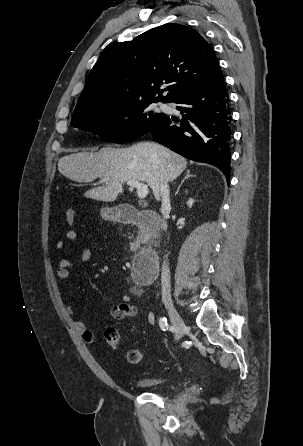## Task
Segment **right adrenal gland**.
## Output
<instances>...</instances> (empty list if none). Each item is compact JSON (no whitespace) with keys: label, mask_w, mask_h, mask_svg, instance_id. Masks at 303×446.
I'll return each instance as SVG.
<instances>
[{"label":"right adrenal gland","mask_w":303,"mask_h":446,"mask_svg":"<svg viewBox=\"0 0 303 446\" xmlns=\"http://www.w3.org/2000/svg\"><path fill=\"white\" fill-rule=\"evenodd\" d=\"M190 177H194V175L190 173V170H186L185 176H184L183 180L181 181L180 185L178 186V188L175 192V195H177L179 193V190H180L182 184L184 183V181Z\"/></svg>","instance_id":"obj_1"}]
</instances>
